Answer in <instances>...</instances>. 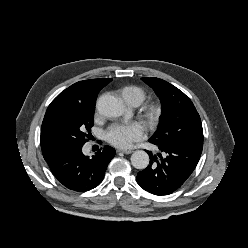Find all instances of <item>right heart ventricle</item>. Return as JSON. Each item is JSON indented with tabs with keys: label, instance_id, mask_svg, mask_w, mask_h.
Here are the masks:
<instances>
[{
	"label": "right heart ventricle",
	"instance_id": "obj_1",
	"mask_svg": "<svg viewBox=\"0 0 248 248\" xmlns=\"http://www.w3.org/2000/svg\"><path fill=\"white\" fill-rule=\"evenodd\" d=\"M120 93L124 100L130 105H140L146 97L144 89L135 85H130L122 88Z\"/></svg>",
	"mask_w": 248,
	"mask_h": 248
}]
</instances>
